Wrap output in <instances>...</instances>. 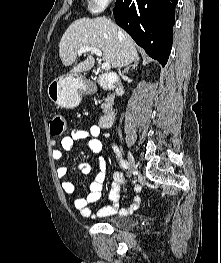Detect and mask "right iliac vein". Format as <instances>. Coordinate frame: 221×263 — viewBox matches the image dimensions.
I'll use <instances>...</instances> for the list:
<instances>
[{
  "mask_svg": "<svg viewBox=\"0 0 221 263\" xmlns=\"http://www.w3.org/2000/svg\"><path fill=\"white\" fill-rule=\"evenodd\" d=\"M127 160H128V164H129V171L132 174L136 171V164H135L133 155L131 154L130 151H127Z\"/></svg>",
  "mask_w": 221,
  "mask_h": 263,
  "instance_id": "63e3f726",
  "label": "right iliac vein"
}]
</instances>
